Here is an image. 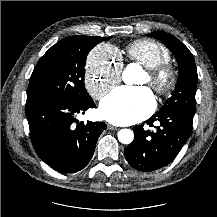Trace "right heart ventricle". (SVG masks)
<instances>
[{
    "instance_id": "obj_1",
    "label": "right heart ventricle",
    "mask_w": 217,
    "mask_h": 217,
    "mask_svg": "<svg viewBox=\"0 0 217 217\" xmlns=\"http://www.w3.org/2000/svg\"><path fill=\"white\" fill-rule=\"evenodd\" d=\"M126 56L147 69L154 68L170 60L169 50L151 39H138L126 46Z\"/></svg>"
}]
</instances>
